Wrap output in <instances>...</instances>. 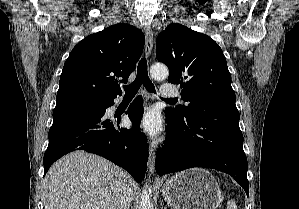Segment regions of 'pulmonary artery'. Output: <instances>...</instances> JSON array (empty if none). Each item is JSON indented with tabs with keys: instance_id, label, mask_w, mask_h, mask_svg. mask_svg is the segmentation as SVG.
Wrapping results in <instances>:
<instances>
[{
	"instance_id": "e3ab8cb5",
	"label": "pulmonary artery",
	"mask_w": 299,
	"mask_h": 209,
	"mask_svg": "<svg viewBox=\"0 0 299 209\" xmlns=\"http://www.w3.org/2000/svg\"><path fill=\"white\" fill-rule=\"evenodd\" d=\"M161 94L164 97H177L179 95V90L172 86L171 84H163L161 86Z\"/></svg>"
}]
</instances>
